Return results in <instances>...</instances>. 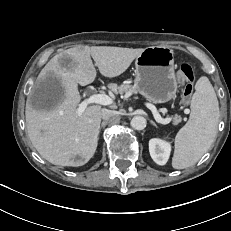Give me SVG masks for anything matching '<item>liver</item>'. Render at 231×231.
<instances>
[{
  "label": "liver",
  "instance_id": "1",
  "mask_svg": "<svg viewBox=\"0 0 231 231\" xmlns=\"http://www.w3.org/2000/svg\"><path fill=\"white\" fill-rule=\"evenodd\" d=\"M143 48L113 46H76L56 54L38 75L36 84L57 82L54 100L45 109L26 103L28 136L42 158L54 165L82 166L94 155L101 123L102 108L90 105L79 116L81 96L78 84L86 86L96 78V69L109 78L121 75L142 52ZM44 105V103H42Z\"/></svg>",
  "mask_w": 231,
  "mask_h": 231
}]
</instances>
